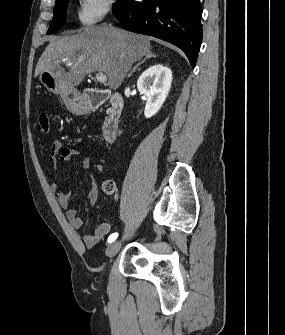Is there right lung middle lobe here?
I'll return each instance as SVG.
<instances>
[{"label": "right lung middle lobe", "mask_w": 285, "mask_h": 335, "mask_svg": "<svg viewBox=\"0 0 285 335\" xmlns=\"http://www.w3.org/2000/svg\"><path fill=\"white\" fill-rule=\"evenodd\" d=\"M69 0H62L54 7V16L47 34H53L58 31L66 21V11Z\"/></svg>", "instance_id": "dd1d6c3e"}]
</instances>
